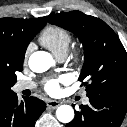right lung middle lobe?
<instances>
[{"instance_id":"dd1d6c3e","label":"right lung middle lobe","mask_w":127,"mask_h":127,"mask_svg":"<svg viewBox=\"0 0 127 127\" xmlns=\"http://www.w3.org/2000/svg\"><path fill=\"white\" fill-rule=\"evenodd\" d=\"M22 68L18 69V70H12L11 72L8 73V75L6 76V82L9 85V87H12L15 82H16V71H21Z\"/></svg>"}]
</instances>
